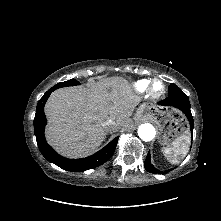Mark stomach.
Here are the masks:
<instances>
[{
    "instance_id": "0dacf381",
    "label": "stomach",
    "mask_w": 221,
    "mask_h": 221,
    "mask_svg": "<svg viewBox=\"0 0 221 221\" xmlns=\"http://www.w3.org/2000/svg\"><path fill=\"white\" fill-rule=\"evenodd\" d=\"M137 118L155 122L158 127V141L163 145H170L188 132L184 116L174 108L147 102L138 108Z\"/></svg>"
}]
</instances>
